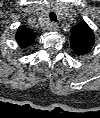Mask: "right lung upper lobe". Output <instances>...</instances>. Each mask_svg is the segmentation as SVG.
Segmentation results:
<instances>
[{
	"label": "right lung upper lobe",
	"mask_w": 100,
	"mask_h": 118,
	"mask_svg": "<svg viewBox=\"0 0 100 118\" xmlns=\"http://www.w3.org/2000/svg\"><path fill=\"white\" fill-rule=\"evenodd\" d=\"M15 38L18 44L21 47L25 48L34 42L35 34L29 28L19 27L18 31L16 32Z\"/></svg>",
	"instance_id": "right-lung-upper-lobe-1"
}]
</instances>
